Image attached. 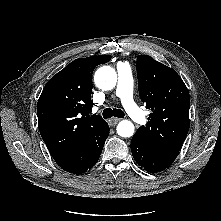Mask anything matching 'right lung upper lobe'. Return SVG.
Returning <instances> with one entry per match:
<instances>
[{
    "mask_svg": "<svg viewBox=\"0 0 221 221\" xmlns=\"http://www.w3.org/2000/svg\"><path fill=\"white\" fill-rule=\"evenodd\" d=\"M110 59L108 55L76 59L46 83L37 116L40 134L55 161L106 123L99 115H89L91 77L97 65Z\"/></svg>",
    "mask_w": 221,
    "mask_h": 221,
    "instance_id": "cb5924a9",
    "label": "right lung upper lobe"
}]
</instances>
